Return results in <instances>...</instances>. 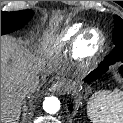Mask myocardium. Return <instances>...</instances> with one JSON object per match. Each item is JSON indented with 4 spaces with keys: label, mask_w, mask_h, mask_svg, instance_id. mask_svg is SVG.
<instances>
[{
    "label": "myocardium",
    "mask_w": 123,
    "mask_h": 123,
    "mask_svg": "<svg viewBox=\"0 0 123 123\" xmlns=\"http://www.w3.org/2000/svg\"><path fill=\"white\" fill-rule=\"evenodd\" d=\"M92 34H95L97 38L94 47L87 48L86 46H82L83 43L88 41L89 36H91ZM105 43L106 38L100 29L98 28L87 29L84 32V34L79 37V46H80L79 58H81L83 62L86 64L92 63L97 57V55L102 51Z\"/></svg>",
    "instance_id": "1"
}]
</instances>
